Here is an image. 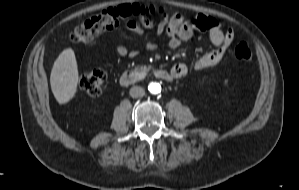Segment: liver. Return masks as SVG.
<instances>
[{
  "instance_id": "obj_1",
  "label": "liver",
  "mask_w": 299,
  "mask_h": 190,
  "mask_svg": "<svg viewBox=\"0 0 299 190\" xmlns=\"http://www.w3.org/2000/svg\"><path fill=\"white\" fill-rule=\"evenodd\" d=\"M78 69L72 49H65L54 62L50 85L54 97L62 104L68 102L76 93Z\"/></svg>"
}]
</instances>
